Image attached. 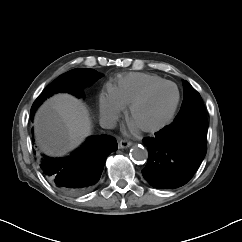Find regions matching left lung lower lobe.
<instances>
[{
  "label": "left lung lower lobe",
  "mask_w": 242,
  "mask_h": 242,
  "mask_svg": "<svg viewBox=\"0 0 242 242\" xmlns=\"http://www.w3.org/2000/svg\"><path fill=\"white\" fill-rule=\"evenodd\" d=\"M206 135L207 127H192L177 133L162 129L144 138L148 148L144 178L158 189L185 185L206 155Z\"/></svg>",
  "instance_id": "obj_1"
}]
</instances>
